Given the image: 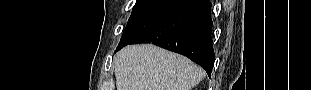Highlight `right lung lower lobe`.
Here are the masks:
<instances>
[{
  "label": "right lung lower lobe",
  "instance_id": "right-lung-lower-lobe-1",
  "mask_svg": "<svg viewBox=\"0 0 311 90\" xmlns=\"http://www.w3.org/2000/svg\"><path fill=\"white\" fill-rule=\"evenodd\" d=\"M210 9L209 0H191L172 18L128 44L153 43L185 55L210 76L214 65Z\"/></svg>",
  "mask_w": 311,
  "mask_h": 90
}]
</instances>
